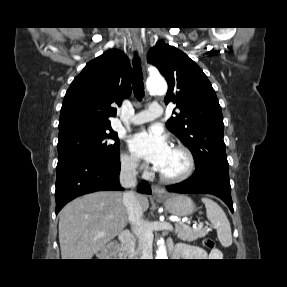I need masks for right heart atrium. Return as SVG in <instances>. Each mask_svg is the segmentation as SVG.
I'll return each mask as SVG.
<instances>
[{
    "instance_id": "obj_1",
    "label": "right heart atrium",
    "mask_w": 287,
    "mask_h": 287,
    "mask_svg": "<svg viewBox=\"0 0 287 287\" xmlns=\"http://www.w3.org/2000/svg\"><path fill=\"white\" fill-rule=\"evenodd\" d=\"M122 167L132 173L139 170H144V166L140 163L138 158L131 153L125 152L121 156Z\"/></svg>"
}]
</instances>
